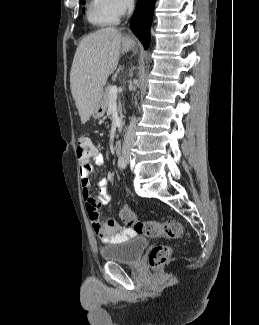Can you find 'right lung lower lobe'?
Segmentation results:
<instances>
[{"label": "right lung lower lobe", "instance_id": "obj_1", "mask_svg": "<svg viewBox=\"0 0 259 325\" xmlns=\"http://www.w3.org/2000/svg\"><path fill=\"white\" fill-rule=\"evenodd\" d=\"M155 0H138L131 20V30L147 49Z\"/></svg>", "mask_w": 259, "mask_h": 325}]
</instances>
